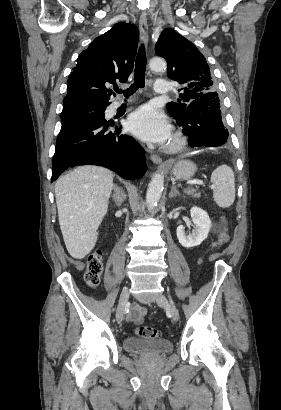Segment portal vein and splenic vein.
<instances>
[{
  "mask_svg": "<svg viewBox=\"0 0 281 410\" xmlns=\"http://www.w3.org/2000/svg\"><path fill=\"white\" fill-rule=\"evenodd\" d=\"M187 184H198V185H203L204 183H203V181H202V180L195 179V180H189V181L187 182Z\"/></svg>",
  "mask_w": 281,
  "mask_h": 410,
  "instance_id": "1",
  "label": "portal vein and splenic vein"
}]
</instances>
